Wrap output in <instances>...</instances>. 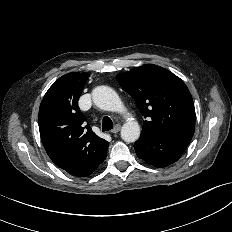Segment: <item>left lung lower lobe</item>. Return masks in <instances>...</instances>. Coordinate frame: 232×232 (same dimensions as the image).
I'll use <instances>...</instances> for the list:
<instances>
[{
  "label": "left lung lower lobe",
  "instance_id": "left-lung-lower-lobe-1",
  "mask_svg": "<svg viewBox=\"0 0 232 232\" xmlns=\"http://www.w3.org/2000/svg\"><path fill=\"white\" fill-rule=\"evenodd\" d=\"M191 136L187 135H149L141 133L135 142V152L148 164L163 168L176 162L186 150Z\"/></svg>",
  "mask_w": 232,
  "mask_h": 232
}]
</instances>
